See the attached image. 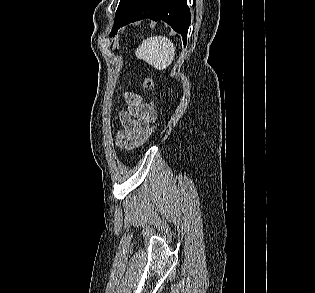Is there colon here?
Wrapping results in <instances>:
<instances>
[{
  "instance_id": "1",
  "label": "colon",
  "mask_w": 315,
  "mask_h": 293,
  "mask_svg": "<svg viewBox=\"0 0 315 293\" xmlns=\"http://www.w3.org/2000/svg\"><path fill=\"white\" fill-rule=\"evenodd\" d=\"M121 83H124V80H121ZM153 86H154L153 79L151 77H146L144 79V81H143V84H142V87H143L144 91L145 92H150L152 90ZM152 109L154 110V105L153 104H152ZM150 123H151L152 126H150L146 130V132L144 134L143 142H145L150 137V135L153 132L154 127H156L158 125V122H157V120L155 118H152L150 120Z\"/></svg>"
}]
</instances>
